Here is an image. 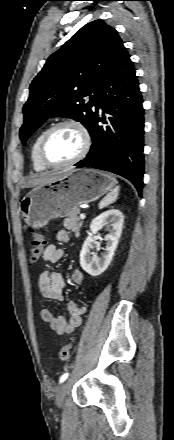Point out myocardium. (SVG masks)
Instances as JSON below:
<instances>
[{"label":"myocardium","instance_id":"obj_1","mask_svg":"<svg viewBox=\"0 0 174 440\" xmlns=\"http://www.w3.org/2000/svg\"><path fill=\"white\" fill-rule=\"evenodd\" d=\"M62 126H71V127H74L75 129H77L81 135V138H82V145H81V148H80V151L78 152V154L75 157H73L72 159H70L64 163L53 164V163L49 162L45 156V147H46V143H47L50 135L57 128L62 127ZM90 147H91V135H90V132L87 129V127L80 120H77L74 118H66V119H62V120L54 123L46 130V132L44 133V135L41 139V142H40L39 158H40L41 162L48 168H55V169L64 168V167H67L70 165H74V164L78 163L79 161H81L89 152Z\"/></svg>","mask_w":174,"mask_h":440}]
</instances>
